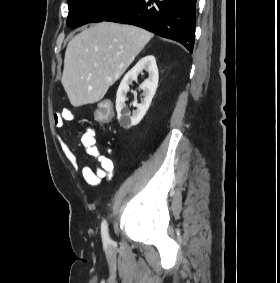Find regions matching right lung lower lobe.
<instances>
[{
  "instance_id": "right-lung-lower-lobe-1",
  "label": "right lung lower lobe",
  "mask_w": 280,
  "mask_h": 283,
  "mask_svg": "<svg viewBox=\"0 0 280 283\" xmlns=\"http://www.w3.org/2000/svg\"><path fill=\"white\" fill-rule=\"evenodd\" d=\"M197 0H132L104 21L131 24L194 47Z\"/></svg>"
}]
</instances>
